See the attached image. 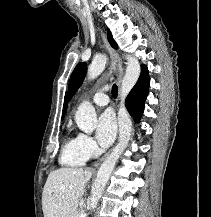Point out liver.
<instances>
[{"mask_svg": "<svg viewBox=\"0 0 211 217\" xmlns=\"http://www.w3.org/2000/svg\"><path fill=\"white\" fill-rule=\"evenodd\" d=\"M92 172L83 168H60L50 172L42 193L44 217H72Z\"/></svg>", "mask_w": 211, "mask_h": 217, "instance_id": "liver-1", "label": "liver"}]
</instances>
